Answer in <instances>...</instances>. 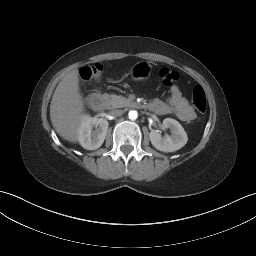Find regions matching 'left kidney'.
Instances as JSON below:
<instances>
[{
    "label": "left kidney",
    "mask_w": 256,
    "mask_h": 256,
    "mask_svg": "<svg viewBox=\"0 0 256 256\" xmlns=\"http://www.w3.org/2000/svg\"><path fill=\"white\" fill-rule=\"evenodd\" d=\"M164 128H169L171 135H162L158 130H152L149 134L152 145L162 152H174L182 148L188 141L187 134L181 124L172 118L163 120Z\"/></svg>",
    "instance_id": "left-kidney-1"
}]
</instances>
